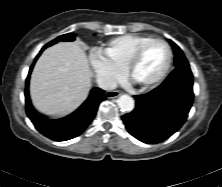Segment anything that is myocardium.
I'll use <instances>...</instances> for the list:
<instances>
[{"mask_svg":"<svg viewBox=\"0 0 222 187\" xmlns=\"http://www.w3.org/2000/svg\"><path fill=\"white\" fill-rule=\"evenodd\" d=\"M155 41L162 43L166 47V49H167V61H166V64H165L162 72L156 78H154V79H152L150 81H146V82H136V81H134L132 79L133 69H134L135 65L137 64V62L139 61L144 48L149 43L155 42ZM172 59H173L172 48H171L170 44L166 40H164V39H162L160 37H149V38L145 39L143 42H141L134 49V51L132 52V54L130 55L128 61L125 64L124 73L135 84H137V85H139L141 87H144V88H150V87L156 86L157 84H159L165 78V76L167 75V73H168V71L170 69V66H171V63H172Z\"/></svg>","mask_w":222,"mask_h":187,"instance_id":"f54148a6","label":"myocardium"}]
</instances>
